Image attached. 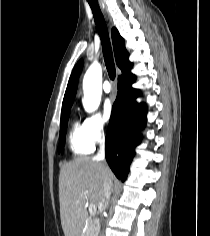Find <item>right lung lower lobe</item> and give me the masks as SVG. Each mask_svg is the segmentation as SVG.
Listing matches in <instances>:
<instances>
[{
  "label": "right lung lower lobe",
  "mask_w": 210,
  "mask_h": 236,
  "mask_svg": "<svg viewBox=\"0 0 210 236\" xmlns=\"http://www.w3.org/2000/svg\"><path fill=\"white\" fill-rule=\"evenodd\" d=\"M135 76L129 71L118 78V93L113 104L105 139L106 160L118 179L124 181L135 154L134 148L141 139L139 131L145 125L146 106L135 99L139 91L131 84Z\"/></svg>",
  "instance_id": "1"
}]
</instances>
